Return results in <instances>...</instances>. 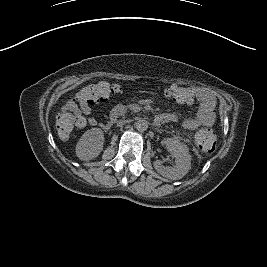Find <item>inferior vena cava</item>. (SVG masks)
I'll use <instances>...</instances> for the list:
<instances>
[{"label":"inferior vena cava","instance_id":"602c4592","mask_svg":"<svg viewBox=\"0 0 267 267\" xmlns=\"http://www.w3.org/2000/svg\"><path fill=\"white\" fill-rule=\"evenodd\" d=\"M125 123H126V120H122V121L119 122V124H121V125H123Z\"/></svg>","mask_w":267,"mask_h":267}]
</instances>
